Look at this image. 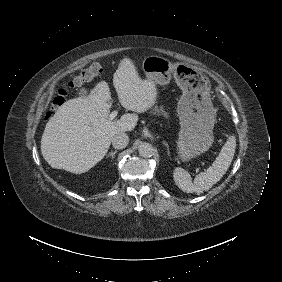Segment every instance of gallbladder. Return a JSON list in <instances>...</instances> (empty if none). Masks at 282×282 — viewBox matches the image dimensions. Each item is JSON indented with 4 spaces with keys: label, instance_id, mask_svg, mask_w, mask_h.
Instances as JSON below:
<instances>
[{
    "label": "gallbladder",
    "instance_id": "gallbladder-1",
    "mask_svg": "<svg viewBox=\"0 0 282 282\" xmlns=\"http://www.w3.org/2000/svg\"><path fill=\"white\" fill-rule=\"evenodd\" d=\"M79 94H80L81 97H85V96H87V91L84 88H82V89H80Z\"/></svg>",
    "mask_w": 282,
    "mask_h": 282
}]
</instances>
